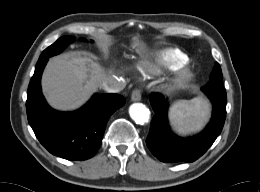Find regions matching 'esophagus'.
I'll list each match as a JSON object with an SVG mask.
<instances>
[{
    "label": "esophagus",
    "mask_w": 260,
    "mask_h": 192,
    "mask_svg": "<svg viewBox=\"0 0 260 192\" xmlns=\"http://www.w3.org/2000/svg\"><path fill=\"white\" fill-rule=\"evenodd\" d=\"M131 100L133 102L141 100V91L139 89H134L131 94Z\"/></svg>",
    "instance_id": "esophagus-1"
}]
</instances>
